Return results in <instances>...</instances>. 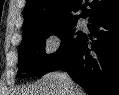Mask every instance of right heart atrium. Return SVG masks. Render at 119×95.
<instances>
[{
  "label": "right heart atrium",
  "instance_id": "obj_1",
  "mask_svg": "<svg viewBox=\"0 0 119 95\" xmlns=\"http://www.w3.org/2000/svg\"><path fill=\"white\" fill-rule=\"evenodd\" d=\"M61 43V38L58 34L52 33L45 40V52L46 54H53L57 51Z\"/></svg>",
  "mask_w": 119,
  "mask_h": 95
}]
</instances>
